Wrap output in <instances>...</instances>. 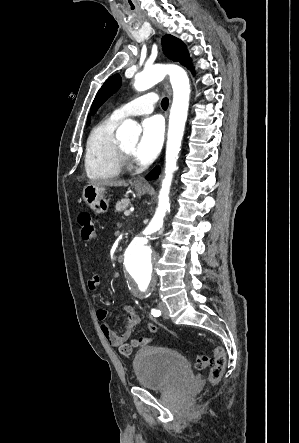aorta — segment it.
Returning a JSON list of instances; mask_svg holds the SVG:
<instances>
[{
	"label": "aorta",
	"instance_id": "1",
	"mask_svg": "<svg viewBox=\"0 0 299 443\" xmlns=\"http://www.w3.org/2000/svg\"><path fill=\"white\" fill-rule=\"evenodd\" d=\"M169 75L173 88V103L169 116L168 138L165 157V177L159 192L158 207L146 228L133 238L126 249L124 266L132 279V292L137 297H147L153 287L154 254L150 240L163 226V219L169 208V193L173 173L177 170V159L181 150L185 123L187 120L190 84L189 78L179 66L154 65L135 76L134 87L137 91L151 88ZM141 128L131 119L125 120L117 130V138L136 142Z\"/></svg>",
	"mask_w": 299,
	"mask_h": 443
}]
</instances>
